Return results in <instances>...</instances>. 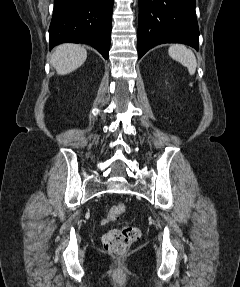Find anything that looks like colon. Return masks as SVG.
<instances>
[{
	"instance_id": "5ec220e1",
	"label": "colon",
	"mask_w": 240,
	"mask_h": 287,
	"mask_svg": "<svg viewBox=\"0 0 240 287\" xmlns=\"http://www.w3.org/2000/svg\"><path fill=\"white\" fill-rule=\"evenodd\" d=\"M126 212L124 203H116L112 205L107 213V217L111 221L118 220ZM140 232L136 227L125 225L119 229H112L105 233L102 237L104 249L113 257L121 258L126 255L130 245L137 240Z\"/></svg>"
}]
</instances>
